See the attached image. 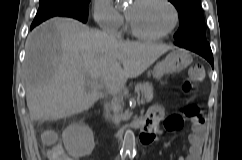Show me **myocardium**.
<instances>
[{
    "mask_svg": "<svg viewBox=\"0 0 242 160\" xmlns=\"http://www.w3.org/2000/svg\"><path fill=\"white\" fill-rule=\"evenodd\" d=\"M163 1L171 8V10L173 12V23L170 26V28L167 31H165L161 34H156V35L143 34L135 28V26L133 25L130 17L127 14L126 15L127 25H128L130 33L134 37L141 39V40H145V41H157V40H161V39L168 37L169 35H171L175 31V29L177 28L179 21H180L179 10L176 7V5L173 3L172 0H163Z\"/></svg>",
    "mask_w": 242,
    "mask_h": 160,
    "instance_id": "1",
    "label": "myocardium"
}]
</instances>
